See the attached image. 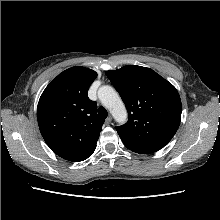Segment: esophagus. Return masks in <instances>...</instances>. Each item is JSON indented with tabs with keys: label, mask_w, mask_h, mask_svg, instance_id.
<instances>
[{
	"label": "esophagus",
	"mask_w": 220,
	"mask_h": 220,
	"mask_svg": "<svg viewBox=\"0 0 220 220\" xmlns=\"http://www.w3.org/2000/svg\"><path fill=\"white\" fill-rule=\"evenodd\" d=\"M111 121H112V117L109 116V117H107V118L105 119V124H106V125H109V124L111 123Z\"/></svg>",
	"instance_id": "obj_1"
}]
</instances>
